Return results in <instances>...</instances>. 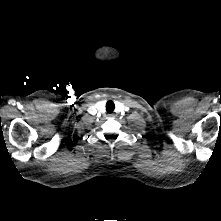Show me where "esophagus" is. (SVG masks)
Here are the masks:
<instances>
[{"mask_svg": "<svg viewBox=\"0 0 221 221\" xmlns=\"http://www.w3.org/2000/svg\"><path fill=\"white\" fill-rule=\"evenodd\" d=\"M108 116H109L110 118H111V117H114V115H113V114H109Z\"/></svg>", "mask_w": 221, "mask_h": 221, "instance_id": "obj_1", "label": "esophagus"}]
</instances>
